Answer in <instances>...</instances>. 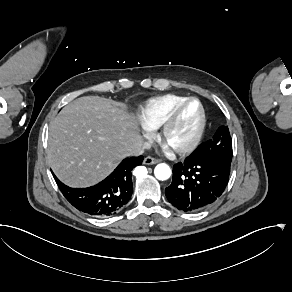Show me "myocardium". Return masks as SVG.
Returning a JSON list of instances; mask_svg holds the SVG:
<instances>
[{
  "instance_id": "myocardium-1",
  "label": "myocardium",
  "mask_w": 292,
  "mask_h": 292,
  "mask_svg": "<svg viewBox=\"0 0 292 292\" xmlns=\"http://www.w3.org/2000/svg\"><path fill=\"white\" fill-rule=\"evenodd\" d=\"M191 103H196L198 105V118L195 125V128L189 137V139L180 145H175L171 143L168 139L169 131L175 121L178 119L181 112ZM205 125V111L202 103L196 98H187L183 102L177 104L172 110L169 112L168 116L165 118L164 122L161 125L160 135L164 143L180 153H186L193 150L197 143L199 142L203 129Z\"/></svg>"
}]
</instances>
